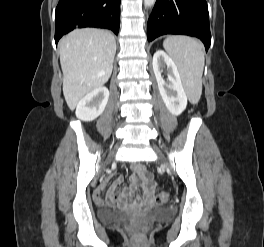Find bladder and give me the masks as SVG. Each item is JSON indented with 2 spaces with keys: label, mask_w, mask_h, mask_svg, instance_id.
Instances as JSON below:
<instances>
[{
  "label": "bladder",
  "mask_w": 264,
  "mask_h": 247,
  "mask_svg": "<svg viewBox=\"0 0 264 247\" xmlns=\"http://www.w3.org/2000/svg\"><path fill=\"white\" fill-rule=\"evenodd\" d=\"M167 216V211L163 209H152L143 211L136 215V218L142 222H154L164 219ZM99 220L107 224H122L133 220L134 215L124 209L120 208H105L99 212Z\"/></svg>",
  "instance_id": "31cf9c89"
}]
</instances>
